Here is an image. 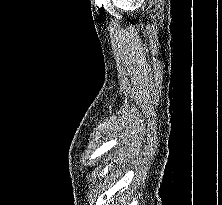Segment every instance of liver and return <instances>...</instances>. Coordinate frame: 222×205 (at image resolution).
Instances as JSON below:
<instances>
[{"label": "liver", "instance_id": "liver-1", "mask_svg": "<svg viewBox=\"0 0 222 205\" xmlns=\"http://www.w3.org/2000/svg\"><path fill=\"white\" fill-rule=\"evenodd\" d=\"M114 200H115V197H114V199H112V205H120V204H117V202H115V204H114ZM116 200H117V196H116Z\"/></svg>", "mask_w": 222, "mask_h": 205}]
</instances>
